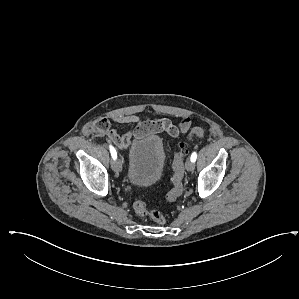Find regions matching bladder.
I'll return each instance as SVG.
<instances>
[{
    "mask_svg": "<svg viewBox=\"0 0 299 299\" xmlns=\"http://www.w3.org/2000/svg\"><path fill=\"white\" fill-rule=\"evenodd\" d=\"M164 159V146L157 136H148L134 141L128 151L129 183L139 188L155 184L162 174Z\"/></svg>",
    "mask_w": 299,
    "mask_h": 299,
    "instance_id": "bladder-1",
    "label": "bladder"
}]
</instances>
